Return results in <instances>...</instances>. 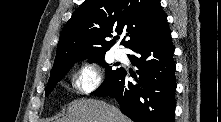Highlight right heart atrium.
<instances>
[{"label": "right heart atrium", "mask_w": 221, "mask_h": 122, "mask_svg": "<svg viewBox=\"0 0 221 122\" xmlns=\"http://www.w3.org/2000/svg\"><path fill=\"white\" fill-rule=\"evenodd\" d=\"M101 80L100 68L93 63H84L74 72L71 84L75 93L87 95L100 86Z\"/></svg>", "instance_id": "obj_1"}]
</instances>
